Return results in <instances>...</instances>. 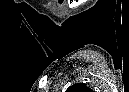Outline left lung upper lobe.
<instances>
[{
  "label": "left lung upper lobe",
  "instance_id": "obj_1",
  "mask_svg": "<svg viewBox=\"0 0 129 92\" xmlns=\"http://www.w3.org/2000/svg\"><path fill=\"white\" fill-rule=\"evenodd\" d=\"M67 92H92V89L88 88L84 83H79L71 86Z\"/></svg>",
  "mask_w": 129,
  "mask_h": 92
}]
</instances>
